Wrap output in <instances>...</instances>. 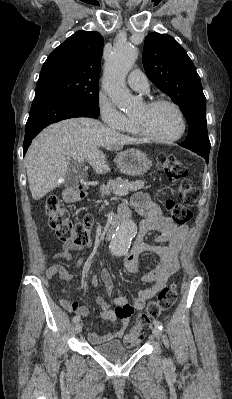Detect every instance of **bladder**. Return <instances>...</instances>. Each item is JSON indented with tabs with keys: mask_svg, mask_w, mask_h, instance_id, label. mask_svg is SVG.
I'll return each instance as SVG.
<instances>
[{
	"mask_svg": "<svg viewBox=\"0 0 232 399\" xmlns=\"http://www.w3.org/2000/svg\"><path fill=\"white\" fill-rule=\"evenodd\" d=\"M94 351L113 362L123 361L135 353L134 349H130L118 340H110L93 347Z\"/></svg>",
	"mask_w": 232,
	"mask_h": 399,
	"instance_id": "1",
	"label": "bladder"
}]
</instances>
